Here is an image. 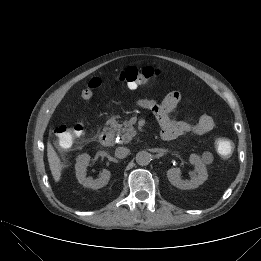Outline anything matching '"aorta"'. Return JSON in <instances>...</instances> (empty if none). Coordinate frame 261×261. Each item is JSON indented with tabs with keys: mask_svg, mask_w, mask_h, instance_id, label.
Instances as JSON below:
<instances>
[{
	"mask_svg": "<svg viewBox=\"0 0 261 261\" xmlns=\"http://www.w3.org/2000/svg\"><path fill=\"white\" fill-rule=\"evenodd\" d=\"M136 162L138 165H141V166H146L150 163L151 161V155L150 153H148L147 151H139L137 154H136Z\"/></svg>",
	"mask_w": 261,
	"mask_h": 261,
	"instance_id": "obj_1",
	"label": "aorta"
}]
</instances>
